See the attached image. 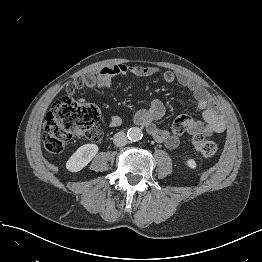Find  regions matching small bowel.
Instances as JSON below:
<instances>
[{"mask_svg":"<svg viewBox=\"0 0 262 262\" xmlns=\"http://www.w3.org/2000/svg\"><path fill=\"white\" fill-rule=\"evenodd\" d=\"M158 73L155 67H129L126 64H114L105 66L91 73V80L85 86L106 90L112 80L118 76L130 75L132 77H149ZM168 83L178 82L184 89L189 91L197 102V109L201 111L202 120H193L187 115H180L173 124V130L169 131L156 125V121L165 114V108L160 100H154L150 105L142 108L135 115V122L146 128L147 132L158 142L164 143L168 148H175L180 142L181 135L185 132H201L206 136L222 133L226 129L223 116L219 112V105L209 91L196 79L182 72L168 71L164 74ZM121 118L114 115L110 118L109 126L118 127Z\"/></svg>","mask_w":262,"mask_h":262,"instance_id":"small-bowel-1","label":"small bowel"}]
</instances>
